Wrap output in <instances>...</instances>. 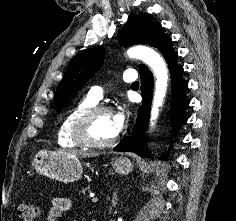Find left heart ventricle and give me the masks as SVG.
I'll return each instance as SVG.
<instances>
[{
    "label": "left heart ventricle",
    "instance_id": "b2bd125f",
    "mask_svg": "<svg viewBox=\"0 0 236 221\" xmlns=\"http://www.w3.org/2000/svg\"><path fill=\"white\" fill-rule=\"evenodd\" d=\"M89 131L91 137L97 141H106L116 136L112 114L103 112L96 116Z\"/></svg>",
    "mask_w": 236,
    "mask_h": 221
}]
</instances>
